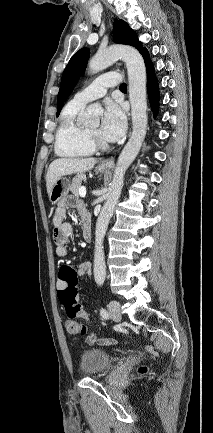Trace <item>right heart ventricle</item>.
<instances>
[{"label": "right heart ventricle", "instance_id": "1", "mask_svg": "<svg viewBox=\"0 0 213 433\" xmlns=\"http://www.w3.org/2000/svg\"><path fill=\"white\" fill-rule=\"evenodd\" d=\"M82 109L83 106L69 102L62 111L55 140V151L59 156L85 157L95 151L88 140L86 129L77 122Z\"/></svg>", "mask_w": 213, "mask_h": 433}]
</instances>
